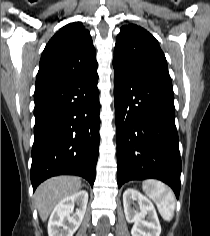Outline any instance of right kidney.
<instances>
[{
	"label": "right kidney",
	"mask_w": 210,
	"mask_h": 236,
	"mask_svg": "<svg viewBox=\"0 0 210 236\" xmlns=\"http://www.w3.org/2000/svg\"><path fill=\"white\" fill-rule=\"evenodd\" d=\"M88 193L85 190L76 192L61 200L48 221L49 236H73L85 215ZM78 208L73 213L74 205Z\"/></svg>",
	"instance_id": "1"
}]
</instances>
